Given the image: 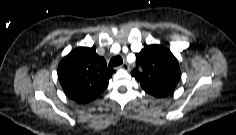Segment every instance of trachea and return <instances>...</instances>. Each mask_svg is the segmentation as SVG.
I'll list each match as a JSON object with an SVG mask.
<instances>
[{"instance_id": "3493384b", "label": "trachea", "mask_w": 236, "mask_h": 135, "mask_svg": "<svg viewBox=\"0 0 236 135\" xmlns=\"http://www.w3.org/2000/svg\"><path fill=\"white\" fill-rule=\"evenodd\" d=\"M123 63V59L121 56L113 57L109 62V67H116Z\"/></svg>"}]
</instances>
